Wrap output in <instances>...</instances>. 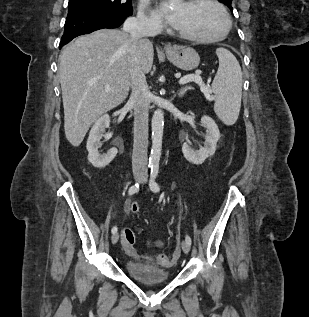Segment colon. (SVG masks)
I'll return each mask as SVG.
<instances>
[{
	"label": "colon",
	"mask_w": 309,
	"mask_h": 317,
	"mask_svg": "<svg viewBox=\"0 0 309 317\" xmlns=\"http://www.w3.org/2000/svg\"><path fill=\"white\" fill-rule=\"evenodd\" d=\"M130 211L132 213H137L139 211V207L136 203H133L130 207ZM135 243V235L134 233L132 232V230L130 229H125L122 233V244L125 246V247H133ZM168 259L169 257L166 256V255H161L160 258H159V262L161 265L163 266H169V262H168Z\"/></svg>",
	"instance_id": "1"
}]
</instances>
